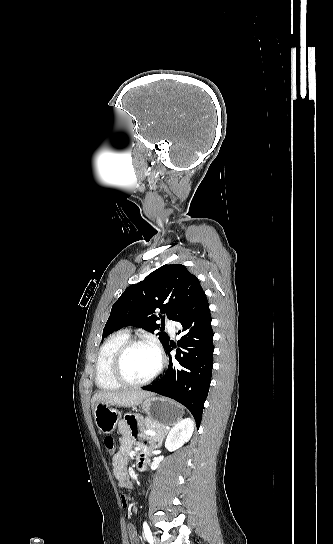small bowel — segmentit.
<instances>
[{
	"label": "small bowel",
	"mask_w": 333,
	"mask_h": 544,
	"mask_svg": "<svg viewBox=\"0 0 333 544\" xmlns=\"http://www.w3.org/2000/svg\"><path fill=\"white\" fill-rule=\"evenodd\" d=\"M119 430L120 437L118 440L117 452L112 459L113 474L121 487L129 488L131 484L127 470V463L132 444L134 442H138L139 447L144 451H147L149 444L145 440L137 441V426L134 420L127 419L121 421L119 423ZM121 505L123 508L128 507L129 498L127 496H121ZM126 530L130 544H138L135 527L132 524H129L126 527Z\"/></svg>",
	"instance_id": "c3829d8e"
}]
</instances>
